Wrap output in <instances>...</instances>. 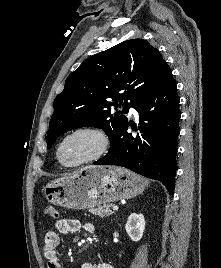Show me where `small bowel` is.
Segmentation results:
<instances>
[{
    "instance_id": "1",
    "label": "small bowel",
    "mask_w": 221,
    "mask_h": 268,
    "mask_svg": "<svg viewBox=\"0 0 221 268\" xmlns=\"http://www.w3.org/2000/svg\"><path fill=\"white\" fill-rule=\"evenodd\" d=\"M81 227L82 224L79 220L58 219L55 223L56 230H50L46 232L44 237L43 254L45 259L47 260L48 268H62L57 250L60 242L59 233H75L79 231ZM83 228L90 234H95L97 231L96 226L92 223H85L83 225ZM80 268H113V266L106 262H100L97 264L85 262L80 266Z\"/></svg>"
}]
</instances>
